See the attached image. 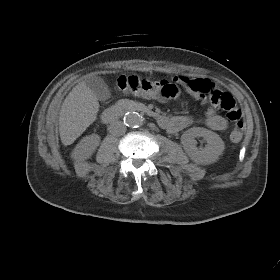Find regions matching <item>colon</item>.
Instances as JSON below:
<instances>
[{
    "mask_svg": "<svg viewBox=\"0 0 280 280\" xmlns=\"http://www.w3.org/2000/svg\"><path fill=\"white\" fill-rule=\"evenodd\" d=\"M115 88L126 94L141 95L148 98L167 100L179 95V85L176 82L167 80H149L138 76H120L115 83ZM209 93L210 102L226 111V119L234 122L230 138L234 142L242 139L244 126L240 121L241 110L236 106L233 96L226 92L213 90V87L202 89Z\"/></svg>",
    "mask_w": 280,
    "mask_h": 280,
    "instance_id": "colon-1",
    "label": "colon"
}]
</instances>
